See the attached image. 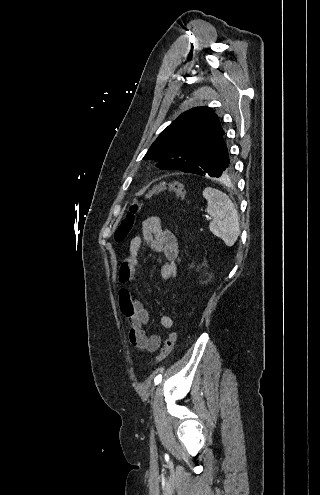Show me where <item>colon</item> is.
<instances>
[{
	"label": "colon",
	"instance_id": "1",
	"mask_svg": "<svg viewBox=\"0 0 320 495\" xmlns=\"http://www.w3.org/2000/svg\"><path fill=\"white\" fill-rule=\"evenodd\" d=\"M161 192H169L175 195L178 198H184L185 196V188L178 182H161L157 186H155L144 198L148 199L151 196L161 193ZM140 207V202L136 201L130 206V212L127 217L122 221V223L117 228L114 237L117 242H123L129 235L131 228L134 223V216L138 212ZM177 340V332L172 330L167 335L164 345L161 349L160 354L157 357L156 363H161L164 361L173 350L175 343Z\"/></svg>",
	"mask_w": 320,
	"mask_h": 495
}]
</instances>
